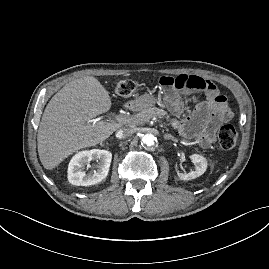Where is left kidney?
<instances>
[{"label": "left kidney", "mask_w": 269, "mask_h": 269, "mask_svg": "<svg viewBox=\"0 0 269 269\" xmlns=\"http://www.w3.org/2000/svg\"><path fill=\"white\" fill-rule=\"evenodd\" d=\"M190 158L195 165V171H192V172L186 173V174L177 172V175L181 180L187 181V180L195 179V178L201 176L202 174H204V172L207 169V165H208L207 160L203 156H201L199 154H192L190 156Z\"/></svg>", "instance_id": "1"}]
</instances>
